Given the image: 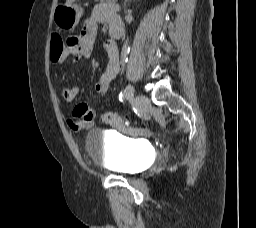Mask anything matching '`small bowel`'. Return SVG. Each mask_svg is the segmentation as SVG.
Instances as JSON below:
<instances>
[{
  "instance_id": "small-bowel-1",
  "label": "small bowel",
  "mask_w": 256,
  "mask_h": 228,
  "mask_svg": "<svg viewBox=\"0 0 256 228\" xmlns=\"http://www.w3.org/2000/svg\"><path fill=\"white\" fill-rule=\"evenodd\" d=\"M115 12L116 7L113 4H104L96 7L92 17L85 21L80 33L67 40V45L64 47L60 57L56 60L51 59L52 62L60 64L70 56L73 57L75 62L90 58L97 35L98 23L106 22L110 27L117 22L121 23ZM104 49L108 55V63L105 71L95 84L94 90L98 96L107 94L111 84L117 79L120 67L119 50L115 41H105ZM59 93L66 102H73L79 94V88L77 86L65 87ZM94 118L95 112L93 108L86 103H79L73 110L72 118L67 122L72 130L82 131L92 126ZM122 131L127 132L128 129L123 128Z\"/></svg>"
}]
</instances>
